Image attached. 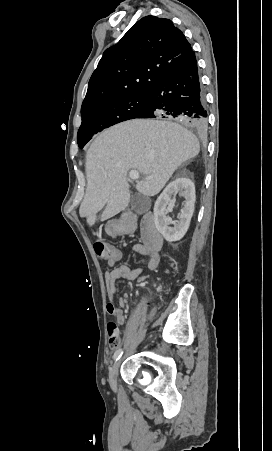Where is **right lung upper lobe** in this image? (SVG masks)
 <instances>
[{
  "mask_svg": "<svg viewBox=\"0 0 272 451\" xmlns=\"http://www.w3.org/2000/svg\"><path fill=\"white\" fill-rule=\"evenodd\" d=\"M194 51L171 20L146 16L114 46L93 72L81 112L107 100L150 94Z\"/></svg>",
  "mask_w": 272,
  "mask_h": 451,
  "instance_id": "cb5924a9",
  "label": "right lung upper lobe"
}]
</instances>
